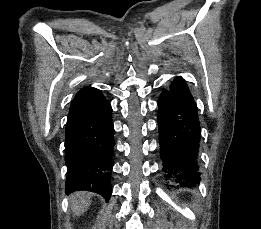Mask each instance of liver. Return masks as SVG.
I'll return each mask as SVG.
<instances>
[{
    "mask_svg": "<svg viewBox=\"0 0 261 229\" xmlns=\"http://www.w3.org/2000/svg\"><path fill=\"white\" fill-rule=\"evenodd\" d=\"M91 197V193H85V191L73 193L70 197V203H72V213L77 215V217H80L82 213H85L92 203Z\"/></svg>",
    "mask_w": 261,
    "mask_h": 229,
    "instance_id": "6515ba94",
    "label": "liver"
}]
</instances>
